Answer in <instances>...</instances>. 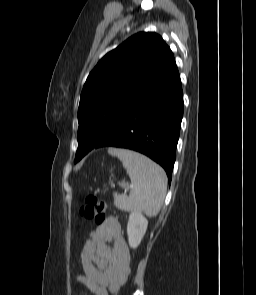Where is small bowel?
<instances>
[{
    "label": "small bowel",
    "mask_w": 256,
    "mask_h": 295,
    "mask_svg": "<svg viewBox=\"0 0 256 295\" xmlns=\"http://www.w3.org/2000/svg\"><path fill=\"white\" fill-rule=\"evenodd\" d=\"M80 260L83 274L76 280L90 293L108 295L121 288L130 273V253L116 217H109L87 234Z\"/></svg>",
    "instance_id": "small-bowel-1"
}]
</instances>
